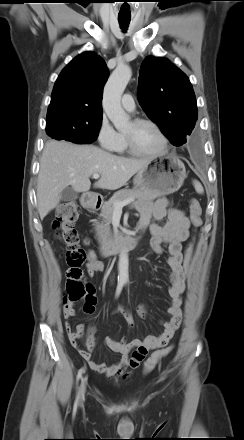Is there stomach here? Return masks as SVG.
<instances>
[{
    "mask_svg": "<svg viewBox=\"0 0 244 440\" xmlns=\"http://www.w3.org/2000/svg\"><path fill=\"white\" fill-rule=\"evenodd\" d=\"M186 178L184 163L167 155L151 160L133 179L134 188L147 194L165 196L180 189Z\"/></svg>",
    "mask_w": 244,
    "mask_h": 440,
    "instance_id": "obj_1",
    "label": "stomach"
}]
</instances>
